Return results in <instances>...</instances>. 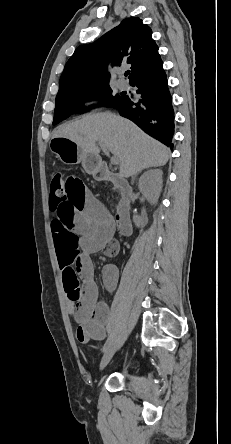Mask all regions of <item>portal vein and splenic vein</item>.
Here are the masks:
<instances>
[{"mask_svg": "<svg viewBox=\"0 0 231 444\" xmlns=\"http://www.w3.org/2000/svg\"><path fill=\"white\" fill-rule=\"evenodd\" d=\"M98 145L101 147V149H102L105 153H108V148L106 147L105 144H103V143H98ZM110 161H111V164H112V165H117L118 162H119V160H118V158H117L116 156H112V157L110 158Z\"/></svg>", "mask_w": 231, "mask_h": 444, "instance_id": "18ae733b", "label": "portal vein and splenic vein"}]
</instances>
